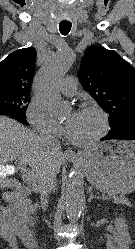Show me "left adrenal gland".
<instances>
[{"instance_id": "obj_1", "label": "left adrenal gland", "mask_w": 135, "mask_h": 249, "mask_svg": "<svg viewBox=\"0 0 135 249\" xmlns=\"http://www.w3.org/2000/svg\"><path fill=\"white\" fill-rule=\"evenodd\" d=\"M93 198H97V197L94 196L92 193H90V196L88 198V202L90 203Z\"/></svg>"}]
</instances>
